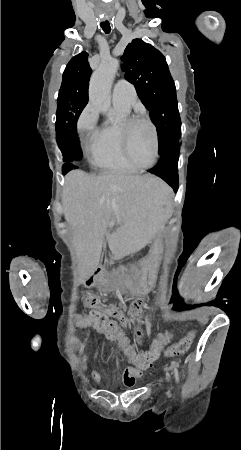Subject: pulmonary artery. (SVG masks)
Returning a JSON list of instances; mask_svg holds the SVG:
<instances>
[{"label": "pulmonary artery", "mask_w": 241, "mask_h": 450, "mask_svg": "<svg viewBox=\"0 0 241 450\" xmlns=\"http://www.w3.org/2000/svg\"><path fill=\"white\" fill-rule=\"evenodd\" d=\"M120 84H124V87H120ZM112 99L114 102H121L130 106L134 99L132 86L125 80L118 81L113 89Z\"/></svg>", "instance_id": "obj_1"}]
</instances>
